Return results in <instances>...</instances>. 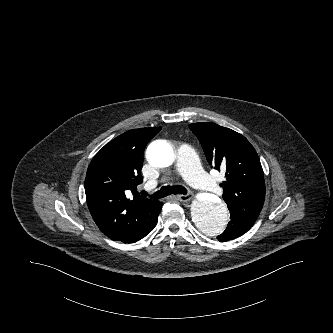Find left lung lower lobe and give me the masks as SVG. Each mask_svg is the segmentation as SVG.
<instances>
[{
  "mask_svg": "<svg viewBox=\"0 0 333 333\" xmlns=\"http://www.w3.org/2000/svg\"><path fill=\"white\" fill-rule=\"evenodd\" d=\"M257 218L244 215L236 210H230V222L226 230L217 238L225 242L237 238L247 232L255 223Z\"/></svg>",
  "mask_w": 333,
  "mask_h": 333,
  "instance_id": "obj_1",
  "label": "left lung lower lobe"
}]
</instances>
